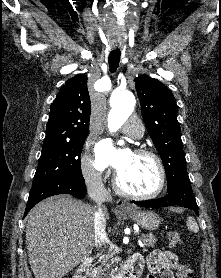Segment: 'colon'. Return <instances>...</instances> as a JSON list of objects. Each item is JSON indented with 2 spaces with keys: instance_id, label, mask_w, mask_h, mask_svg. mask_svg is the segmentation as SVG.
<instances>
[{
  "instance_id": "colon-1",
  "label": "colon",
  "mask_w": 221,
  "mask_h": 278,
  "mask_svg": "<svg viewBox=\"0 0 221 278\" xmlns=\"http://www.w3.org/2000/svg\"><path fill=\"white\" fill-rule=\"evenodd\" d=\"M168 239L173 246H183V240L180 233L177 231L169 232ZM179 278H194L192 269L188 266L182 267L179 273Z\"/></svg>"
}]
</instances>
